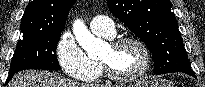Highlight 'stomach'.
Segmentation results:
<instances>
[{"label": "stomach", "instance_id": "1", "mask_svg": "<svg viewBox=\"0 0 205 87\" xmlns=\"http://www.w3.org/2000/svg\"><path fill=\"white\" fill-rule=\"evenodd\" d=\"M128 87H172V83L167 82L166 80L143 79V80L134 82Z\"/></svg>", "mask_w": 205, "mask_h": 87}]
</instances>
